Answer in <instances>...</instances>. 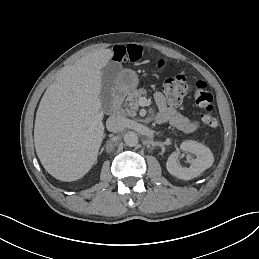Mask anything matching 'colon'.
Segmentation results:
<instances>
[{
    "mask_svg": "<svg viewBox=\"0 0 259 259\" xmlns=\"http://www.w3.org/2000/svg\"><path fill=\"white\" fill-rule=\"evenodd\" d=\"M163 89L173 105H178L183 98L191 93L196 104L202 109L200 121L203 125L215 127L218 124L217 118L213 115V96L204 81H197L190 85L183 75L167 79L163 82Z\"/></svg>",
    "mask_w": 259,
    "mask_h": 259,
    "instance_id": "1",
    "label": "colon"
}]
</instances>
